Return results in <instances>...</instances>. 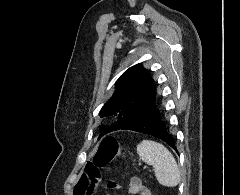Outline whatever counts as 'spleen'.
Returning <instances> with one entry per match:
<instances>
[{"instance_id": "spleen-1", "label": "spleen", "mask_w": 240, "mask_h": 195, "mask_svg": "<svg viewBox=\"0 0 240 195\" xmlns=\"http://www.w3.org/2000/svg\"><path fill=\"white\" fill-rule=\"evenodd\" d=\"M137 153L148 165H153L155 175L161 185L174 187L180 181V171L171 151L152 139H143L137 145Z\"/></svg>"}]
</instances>
